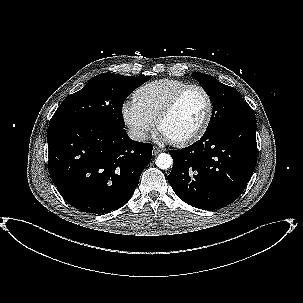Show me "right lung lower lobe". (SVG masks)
I'll return each instance as SVG.
<instances>
[{"label": "right lung lower lobe", "mask_w": 303, "mask_h": 303, "mask_svg": "<svg viewBox=\"0 0 303 303\" xmlns=\"http://www.w3.org/2000/svg\"><path fill=\"white\" fill-rule=\"evenodd\" d=\"M48 169L62 197L83 212L104 214L125 205L152 157V145L124 128L94 123L50 125Z\"/></svg>", "instance_id": "98d812e1"}]
</instances>
